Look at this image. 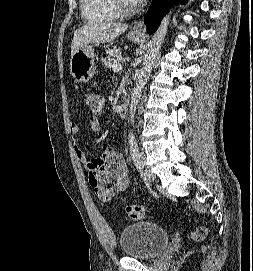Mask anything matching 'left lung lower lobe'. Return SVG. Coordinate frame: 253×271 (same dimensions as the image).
<instances>
[{
  "instance_id": "left-lung-lower-lobe-1",
  "label": "left lung lower lobe",
  "mask_w": 253,
  "mask_h": 271,
  "mask_svg": "<svg viewBox=\"0 0 253 271\" xmlns=\"http://www.w3.org/2000/svg\"><path fill=\"white\" fill-rule=\"evenodd\" d=\"M180 2L185 3L187 0H153L144 20L148 33L152 34L157 30L163 16L167 13L170 4Z\"/></svg>"
}]
</instances>
